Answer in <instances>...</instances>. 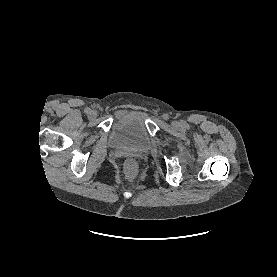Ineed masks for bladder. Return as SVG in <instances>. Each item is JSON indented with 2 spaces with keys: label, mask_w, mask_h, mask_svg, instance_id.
Wrapping results in <instances>:
<instances>
[{
  "label": "bladder",
  "mask_w": 277,
  "mask_h": 277,
  "mask_svg": "<svg viewBox=\"0 0 277 277\" xmlns=\"http://www.w3.org/2000/svg\"><path fill=\"white\" fill-rule=\"evenodd\" d=\"M110 145L116 149L145 151L151 145V136L143 113L122 110L114 117Z\"/></svg>",
  "instance_id": "31cf9c89"
}]
</instances>
